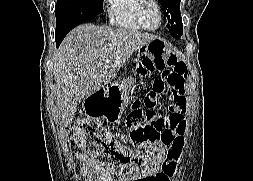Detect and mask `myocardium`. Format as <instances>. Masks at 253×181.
<instances>
[{"instance_id":"obj_1","label":"myocardium","mask_w":253,"mask_h":181,"mask_svg":"<svg viewBox=\"0 0 253 181\" xmlns=\"http://www.w3.org/2000/svg\"><path fill=\"white\" fill-rule=\"evenodd\" d=\"M148 2L155 5V7L157 8L158 14H159V23L155 28L148 27L144 23V20L142 17L143 6L145 3H148ZM134 16H135V19H136L137 23L139 24V26L143 30L150 31V32L157 31L162 26V23H163V9H162V6L158 0H136V4L134 7Z\"/></svg>"}]
</instances>
